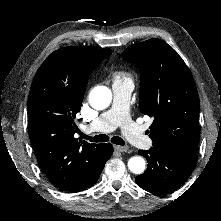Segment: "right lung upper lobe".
<instances>
[{"label": "right lung upper lobe", "mask_w": 221, "mask_h": 221, "mask_svg": "<svg viewBox=\"0 0 221 221\" xmlns=\"http://www.w3.org/2000/svg\"><path fill=\"white\" fill-rule=\"evenodd\" d=\"M110 50L85 46L61 48L50 54L31 85L28 132L36 158L61 190L76 192L93 173L102 144L75 138L74 118L81 109L88 77Z\"/></svg>", "instance_id": "obj_1"}]
</instances>
